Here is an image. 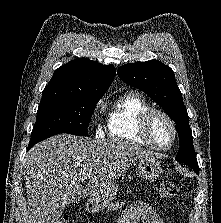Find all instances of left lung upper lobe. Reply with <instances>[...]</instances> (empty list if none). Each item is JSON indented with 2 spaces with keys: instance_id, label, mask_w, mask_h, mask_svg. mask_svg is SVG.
Returning a JSON list of instances; mask_svg holds the SVG:
<instances>
[{
  "instance_id": "obj_1",
  "label": "left lung upper lobe",
  "mask_w": 221,
  "mask_h": 223,
  "mask_svg": "<svg viewBox=\"0 0 221 223\" xmlns=\"http://www.w3.org/2000/svg\"><path fill=\"white\" fill-rule=\"evenodd\" d=\"M117 74L128 85L146 93L175 121L180 141L176 160L199 173L187 109L173 70L157 60H150L125 64Z\"/></svg>"
}]
</instances>
